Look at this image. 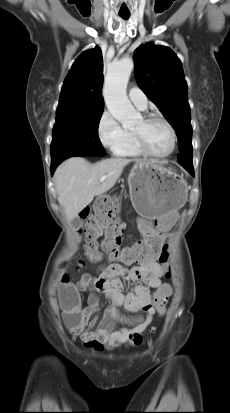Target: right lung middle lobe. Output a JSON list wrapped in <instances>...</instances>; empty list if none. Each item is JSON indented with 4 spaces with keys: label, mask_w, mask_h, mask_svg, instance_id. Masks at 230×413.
<instances>
[{
    "label": "right lung middle lobe",
    "mask_w": 230,
    "mask_h": 413,
    "mask_svg": "<svg viewBox=\"0 0 230 413\" xmlns=\"http://www.w3.org/2000/svg\"><path fill=\"white\" fill-rule=\"evenodd\" d=\"M102 113L58 116L52 134L51 163L73 156H102L106 152L98 136Z\"/></svg>",
    "instance_id": "dd1d6c3e"
}]
</instances>
